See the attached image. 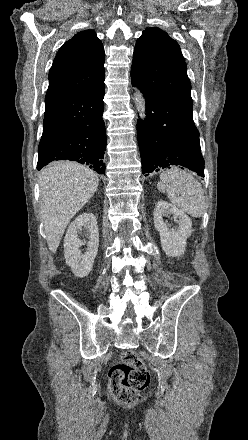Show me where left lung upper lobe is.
I'll list each match as a JSON object with an SVG mask.
<instances>
[{
    "mask_svg": "<svg viewBox=\"0 0 248 440\" xmlns=\"http://www.w3.org/2000/svg\"><path fill=\"white\" fill-rule=\"evenodd\" d=\"M131 73L145 87L161 92L192 113L191 83L178 43L158 27L146 28L137 40Z\"/></svg>",
    "mask_w": 248,
    "mask_h": 440,
    "instance_id": "obj_1",
    "label": "left lung upper lobe"
}]
</instances>
